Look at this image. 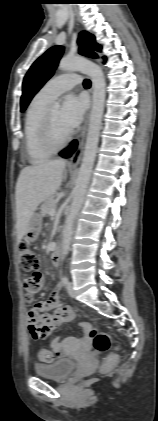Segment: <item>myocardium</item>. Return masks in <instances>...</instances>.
Here are the masks:
<instances>
[{"label": "myocardium", "mask_w": 158, "mask_h": 421, "mask_svg": "<svg viewBox=\"0 0 158 421\" xmlns=\"http://www.w3.org/2000/svg\"><path fill=\"white\" fill-rule=\"evenodd\" d=\"M41 137L44 146L49 150L55 152L62 149L68 144L72 137V134L71 132H69L63 139H57L53 131L50 110H47L42 123Z\"/></svg>", "instance_id": "obj_1"}]
</instances>
